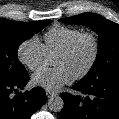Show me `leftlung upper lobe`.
<instances>
[{"label": "left lung upper lobe", "mask_w": 119, "mask_h": 119, "mask_svg": "<svg viewBox=\"0 0 119 119\" xmlns=\"http://www.w3.org/2000/svg\"><path fill=\"white\" fill-rule=\"evenodd\" d=\"M59 21L68 24H84L90 26L98 34L97 58L81 82L96 79L119 78V25L94 13L62 18Z\"/></svg>", "instance_id": "5c2ea615"}]
</instances>
